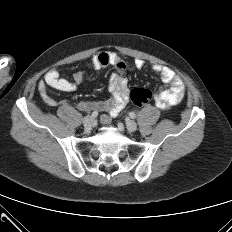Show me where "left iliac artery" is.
I'll list each match as a JSON object with an SVG mask.
<instances>
[{
    "mask_svg": "<svg viewBox=\"0 0 232 232\" xmlns=\"http://www.w3.org/2000/svg\"><path fill=\"white\" fill-rule=\"evenodd\" d=\"M129 116L132 118V119H135L136 118V114L134 112H130L129 113Z\"/></svg>",
    "mask_w": 232,
    "mask_h": 232,
    "instance_id": "obj_1",
    "label": "left iliac artery"
}]
</instances>
